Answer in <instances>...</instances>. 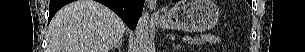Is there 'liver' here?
<instances>
[{"instance_id":"liver-1","label":"liver","mask_w":305,"mask_h":52,"mask_svg":"<svg viewBox=\"0 0 305 52\" xmlns=\"http://www.w3.org/2000/svg\"><path fill=\"white\" fill-rule=\"evenodd\" d=\"M126 26L108 7L92 0L61 8L48 29V52H109Z\"/></svg>"}]
</instances>
